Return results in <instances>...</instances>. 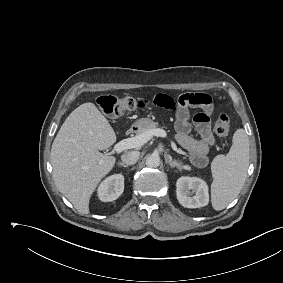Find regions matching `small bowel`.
<instances>
[{
  "mask_svg": "<svg viewBox=\"0 0 283 283\" xmlns=\"http://www.w3.org/2000/svg\"><path fill=\"white\" fill-rule=\"evenodd\" d=\"M148 104L169 110L176 115L175 131L179 145L189 154L191 161L198 167L207 164V154L210 147L215 144V138L211 131L210 114L212 100L204 93H186L177 99L166 95L156 94L150 101L141 99L137 110L145 108ZM199 108L194 116V124L200 135L199 139L191 136V124L189 122V109Z\"/></svg>",
  "mask_w": 283,
  "mask_h": 283,
  "instance_id": "obj_1",
  "label": "small bowel"
}]
</instances>
